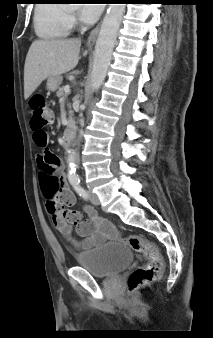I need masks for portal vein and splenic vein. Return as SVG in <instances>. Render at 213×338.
<instances>
[{"mask_svg": "<svg viewBox=\"0 0 213 338\" xmlns=\"http://www.w3.org/2000/svg\"><path fill=\"white\" fill-rule=\"evenodd\" d=\"M64 92L66 93V95H68L70 93V86L69 85H66L64 87Z\"/></svg>", "mask_w": 213, "mask_h": 338, "instance_id": "18ae733b", "label": "portal vein and splenic vein"}]
</instances>
